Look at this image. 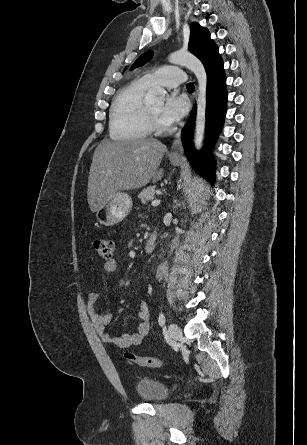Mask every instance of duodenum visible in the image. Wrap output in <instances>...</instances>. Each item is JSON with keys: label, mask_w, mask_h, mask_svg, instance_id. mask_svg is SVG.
Here are the masks:
<instances>
[{"label": "duodenum", "mask_w": 307, "mask_h": 445, "mask_svg": "<svg viewBox=\"0 0 307 445\" xmlns=\"http://www.w3.org/2000/svg\"><path fill=\"white\" fill-rule=\"evenodd\" d=\"M157 235L153 232L145 243L144 250L146 253H152L156 247Z\"/></svg>", "instance_id": "1"}]
</instances>
